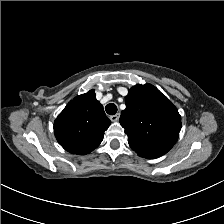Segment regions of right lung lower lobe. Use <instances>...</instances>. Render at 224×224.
<instances>
[{"instance_id": "right-lung-lower-lobe-1", "label": "right lung lower lobe", "mask_w": 224, "mask_h": 224, "mask_svg": "<svg viewBox=\"0 0 224 224\" xmlns=\"http://www.w3.org/2000/svg\"><path fill=\"white\" fill-rule=\"evenodd\" d=\"M62 146H63V148H64L65 150H67L68 152H70V153H75V154H76V149H75V147H73L72 145H66V144H63Z\"/></svg>"}]
</instances>
